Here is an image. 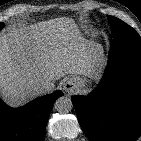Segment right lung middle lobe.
<instances>
[{"instance_id":"dd1d6c3e","label":"right lung middle lobe","mask_w":141,"mask_h":141,"mask_svg":"<svg viewBox=\"0 0 141 141\" xmlns=\"http://www.w3.org/2000/svg\"><path fill=\"white\" fill-rule=\"evenodd\" d=\"M3 26H4V24L0 22V29H2Z\"/></svg>"}]
</instances>
